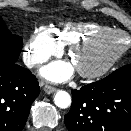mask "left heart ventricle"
<instances>
[{
	"label": "left heart ventricle",
	"mask_w": 131,
	"mask_h": 131,
	"mask_svg": "<svg viewBox=\"0 0 131 131\" xmlns=\"http://www.w3.org/2000/svg\"><path fill=\"white\" fill-rule=\"evenodd\" d=\"M126 43V39L121 36L109 37L101 41L92 49L78 51L73 56V62L77 69H92L121 49Z\"/></svg>",
	"instance_id": "left-heart-ventricle-1"
}]
</instances>
